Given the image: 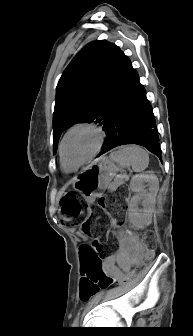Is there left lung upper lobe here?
Returning <instances> with one entry per match:
<instances>
[{"mask_svg": "<svg viewBox=\"0 0 193 336\" xmlns=\"http://www.w3.org/2000/svg\"><path fill=\"white\" fill-rule=\"evenodd\" d=\"M128 58L105 40L87 44L63 72L53 116L54 153L61 133L74 123L103 126L120 87Z\"/></svg>", "mask_w": 193, "mask_h": 336, "instance_id": "obj_1", "label": "left lung upper lobe"}]
</instances>
